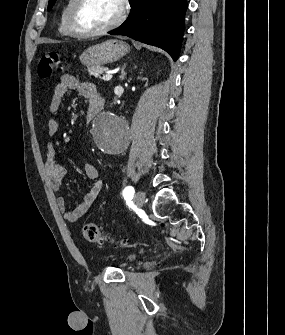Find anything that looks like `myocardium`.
I'll return each mask as SVG.
<instances>
[{"instance_id": "myocardium-1", "label": "myocardium", "mask_w": 285, "mask_h": 335, "mask_svg": "<svg viewBox=\"0 0 285 335\" xmlns=\"http://www.w3.org/2000/svg\"><path fill=\"white\" fill-rule=\"evenodd\" d=\"M89 1H75L69 16V23L71 31L79 37L90 38L103 35L114 28H116L125 17V7L127 1H116L117 12L114 19L108 23L105 27L97 30H91L85 28L80 22V14L84 5Z\"/></svg>"}]
</instances>
